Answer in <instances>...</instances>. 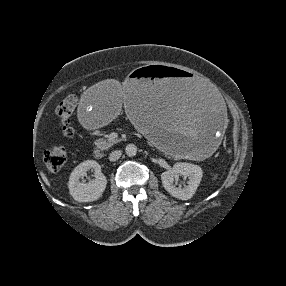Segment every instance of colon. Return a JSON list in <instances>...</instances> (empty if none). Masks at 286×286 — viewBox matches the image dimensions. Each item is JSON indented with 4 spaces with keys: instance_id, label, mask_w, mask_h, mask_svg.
I'll use <instances>...</instances> for the list:
<instances>
[{
    "instance_id": "5ec220e1",
    "label": "colon",
    "mask_w": 286,
    "mask_h": 286,
    "mask_svg": "<svg viewBox=\"0 0 286 286\" xmlns=\"http://www.w3.org/2000/svg\"><path fill=\"white\" fill-rule=\"evenodd\" d=\"M77 98L73 95L64 98L56 108V115L59 121L60 130L63 136L71 137L74 130L70 124V119L76 108ZM67 160V151L64 147L53 145L43 156L46 168L51 172H58L65 165Z\"/></svg>"
}]
</instances>
